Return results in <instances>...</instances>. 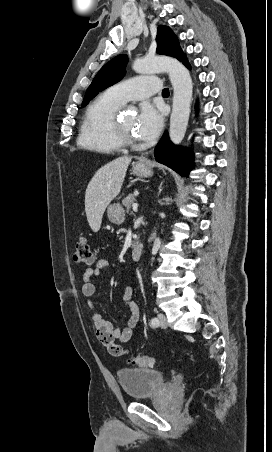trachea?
Listing matches in <instances>:
<instances>
[{
	"label": "trachea",
	"instance_id": "3493384b",
	"mask_svg": "<svg viewBox=\"0 0 272 452\" xmlns=\"http://www.w3.org/2000/svg\"><path fill=\"white\" fill-rule=\"evenodd\" d=\"M162 95H169V89L168 88H164L162 91Z\"/></svg>",
	"mask_w": 272,
	"mask_h": 452
}]
</instances>
